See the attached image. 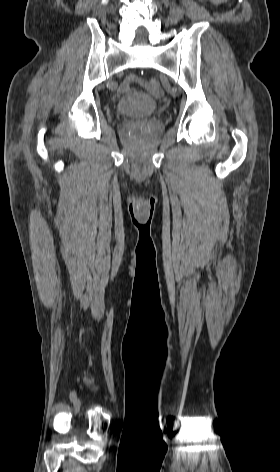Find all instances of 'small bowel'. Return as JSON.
I'll return each instance as SVG.
<instances>
[{"mask_svg": "<svg viewBox=\"0 0 280 472\" xmlns=\"http://www.w3.org/2000/svg\"><path fill=\"white\" fill-rule=\"evenodd\" d=\"M133 83H138L142 86H147V82L134 74L128 75L123 83L121 84L120 90L122 92H127Z\"/></svg>", "mask_w": 280, "mask_h": 472, "instance_id": "1", "label": "small bowel"}]
</instances>
